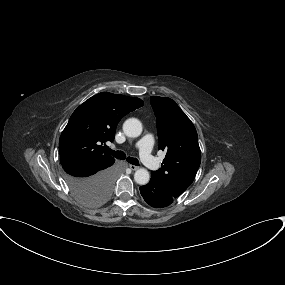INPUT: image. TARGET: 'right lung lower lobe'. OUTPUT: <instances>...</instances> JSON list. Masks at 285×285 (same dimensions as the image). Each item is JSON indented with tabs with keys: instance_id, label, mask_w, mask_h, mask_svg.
Listing matches in <instances>:
<instances>
[{
	"instance_id": "obj_1",
	"label": "right lung lower lobe",
	"mask_w": 285,
	"mask_h": 285,
	"mask_svg": "<svg viewBox=\"0 0 285 285\" xmlns=\"http://www.w3.org/2000/svg\"><path fill=\"white\" fill-rule=\"evenodd\" d=\"M115 161L82 162L64 168L66 181L71 189L75 186L105 185L112 186L115 176Z\"/></svg>"
}]
</instances>
